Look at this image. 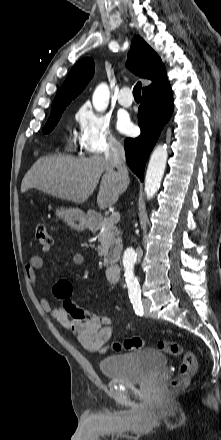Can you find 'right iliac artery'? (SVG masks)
I'll return each instance as SVG.
<instances>
[{
	"instance_id": "right-iliac-artery-1",
	"label": "right iliac artery",
	"mask_w": 221,
	"mask_h": 440,
	"mask_svg": "<svg viewBox=\"0 0 221 440\" xmlns=\"http://www.w3.org/2000/svg\"><path fill=\"white\" fill-rule=\"evenodd\" d=\"M131 303L137 315H143V306L140 297H131Z\"/></svg>"
}]
</instances>
